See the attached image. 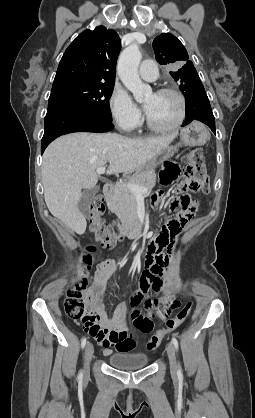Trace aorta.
Masks as SVG:
<instances>
[{"label": "aorta", "instance_id": "obj_1", "mask_svg": "<svg viewBox=\"0 0 255 418\" xmlns=\"http://www.w3.org/2000/svg\"><path fill=\"white\" fill-rule=\"evenodd\" d=\"M142 55L137 44H131L120 55L118 74L125 87L131 91L137 102H142L152 93L149 85L144 84L138 74Z\"/></svg>", "mask_w": 255, "mask_h": 418}]
</instances>
